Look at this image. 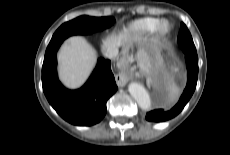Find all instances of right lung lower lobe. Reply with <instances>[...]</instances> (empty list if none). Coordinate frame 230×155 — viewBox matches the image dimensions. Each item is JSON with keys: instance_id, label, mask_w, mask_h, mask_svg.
I'll use <instances>...</instances> for the list:
<instances>
[{"instance_id": "obj_1", "label": "right lung lower lobe", "mask_w": 230, "mask_h": 155, "mask_svg": "<svg viewBox=\"0 0 230 155\" xmlns=\"http://www.w3.org/2000/svg\"><path fill=\"white\" fill-rule=\"evenodd\" d=\"M62 42L48 45L42 66V86L50 105L67 122L90 126L106 114V102L117 91L111 61L100 58L86 84L78 90L66 89L58 80L56 53Z\"/></svg>"}]
</instances>
